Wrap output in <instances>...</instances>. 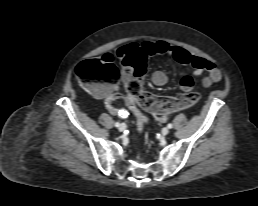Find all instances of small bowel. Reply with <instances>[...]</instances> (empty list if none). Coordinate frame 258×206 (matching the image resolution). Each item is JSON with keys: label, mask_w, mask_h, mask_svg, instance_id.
<instances>
[{"label": "small bowel", "mask_w": 258, "mask_h": 206, "mask_svg": "<svg viewBox=\"0 0 258 206\" xmlns=\"http://www.w3.org/2000/svg\"><path fill=\"white\" fill-rule=\"evenodd\" d=\"M137 54H143L144 56L168 55L178 63L192 67L194 69L193 73L186 74L180 79V87L183 91L193 90L194 78L204 72L207 73L202 80L204 87H210L212 84L219 82L222 77L221 71L212 61L193 55L181 47L172 46L162 40L145 41L141 44L130 43L120 47L116 52L117 58L122 61ZM107 56H110L114 60L113 56L109 54ZM167 81L168 77L163 71H156L152 75V82L156 86H163ZM99 96L105 99L106 108L111 114L119 117L127 116L126 110L114 105V102L117 100L129 102L128 97L123 93L119 92L116 88H104L99 92ZM157 119L160 122H164L166 115H157Z\"/></svg>", "instance_id": "obj_1"}]
</instances>
